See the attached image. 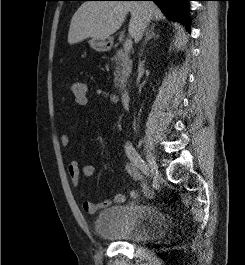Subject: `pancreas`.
Returning <instances> with one entry per match:
<instances>
[{"label": "pancreas", "instance_id": "pancreas-1", "mask_svg": "<svg viewBox=\"0 0 245 265\" xmlns=\"http://www.w3.org/2000/svg\"><path fill=\"white\" fill-rule=\"evenodd\" d=\"M114 61V86L119 91H122L126 87V83L132 70V61L130 56L123 49L116 51V54L111 59Z\"/></svg>", "mask_w": 245, "mask_h": 265}]
</instances>
